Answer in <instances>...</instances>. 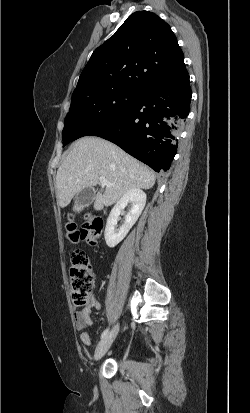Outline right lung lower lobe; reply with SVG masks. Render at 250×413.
Wrapping results in <instances>:
<instances>
[{"instance_id": "obj_1", "label": "right lung lower lobe", "mask_w": 250, "mask_h": 413, "mask_svg": "<svg viewBox=\"0 0 250 413\" xmlns=\"http://www.w3.org/2000/svg\"><path fill=\"white\" fill-rule=\"evenodd\" d=\"M190 101L188 74L176 82L154 83L141 89L119 115L87 136L115 143L156 172L167 171L177 152Z\"/></svg>"}]
</instances>
